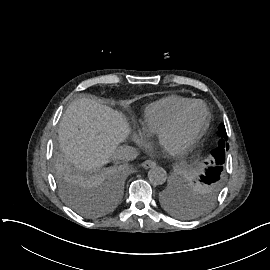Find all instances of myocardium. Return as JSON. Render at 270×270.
I'll use <instances>...</instances> for the list:
<instances>
[{"label": "myocardium", "instance_id": "obj_1", "mask_svg": "<svg viewBox=\"0 0 270 270\" xmlns=\"http://www.w3.org/2000/svg\"><path fill=\"white\" fill-rule=\"evenodd\" d=\"M197 105H201L204 108L205 111V119L204 122L200 127H198L194 132H192L181 145L177 146L175 148L177 153H185L189 151L195 143L199 140V138L202 136V134L206 131L207 127L209 126L211 115L210 111L207 107V105L202 101H194L190 105L186 106L184 109H182L165 127H163L159 133L158 138L162 139L164 135L174 132L178 130L186 115L189 113V111L194 108Z\"/></svg>", "mask_w": 270, "mask_h": 270}]
</instances>
